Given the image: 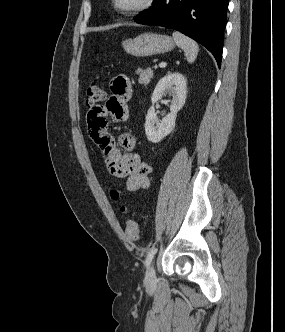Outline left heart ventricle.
<instances>
[{
  "instance_id": "obj_1",
  "label": "left heart ventricle",
  "mask_w": 285,
  "mask_h": 332,
  "mask_svg": "<svg viewBox=\"0 0 285 332\" xmlns=\"http://www.w3.org/2000/svg\"><path fill=\"white\" fill-rule=\"evenodd\" d=\"M141 0H118V3L122 7H131L133 5H136Z\"/></svg>"
}]
</instances>
